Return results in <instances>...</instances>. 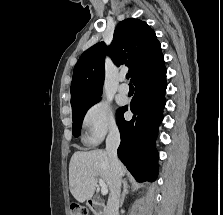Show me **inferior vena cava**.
Masks as SVG:
<instances>
[{"mask_svg": "<svg viewBox=\"0 0 223 215\" xmlns=\"http://www.w3.org/2000/svg\"><path fill=\"white\" fill-rule=\"evenodd\" d=\"M119 143H120V133L117 127H112L106 139V151L110 157L111 171L113 175V185L107 201L106 215H119L118 207H119L120 187L122 183L121 163L117 157V147Z\"/></svg>", "mask_w": 223, "mask_h": 215, "instance_id": "obj_1", "label": "inferior vena cava"}]
</instances>
